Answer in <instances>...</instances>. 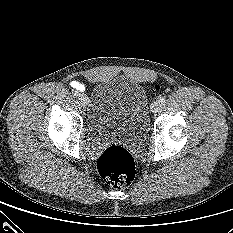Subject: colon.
I'll list each match as a JSON object with an SVG mask.
<instances>
[{"label": "colon", "instance_id": "colon-1", "mask_svg": "<svg viewBox=\"0 0 233 233\" xmlns=\"http://www.w3.org/2000/svg\"><path fill=\"white\" fill-rule=\"evenodd\" d=\"M97 168L101 177L116 189L128 186L135 175V164L131 154L119 145H111L101 153Z\"/></svg>", "mask_w": 233, "mask_h": 233}]
</instances>
